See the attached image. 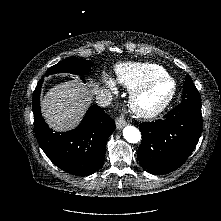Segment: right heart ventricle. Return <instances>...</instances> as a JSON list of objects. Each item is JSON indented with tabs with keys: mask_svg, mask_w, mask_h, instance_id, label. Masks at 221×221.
<instances>
[{
	"mask_svg": "<svg viewBox=\"0 0 221 221\" xmlns=\"http://www.w3.org/2000/svg\"><path fill=\"white\" fill-rule=\"evenodd\" d=\"M117 82L128 90H134L153 78L166 75L159 65L151 63H121L115 68Z\"/></svg>",
	"mask_w": 221,
	"mask_h": 221,
	"instance_id": "e07e8e85",
	"label": "right heart ventricle"
}]
</instances>
